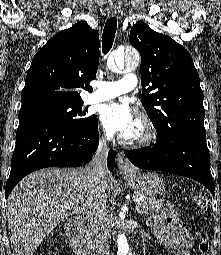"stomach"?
Segmentation results:
<instances>
[{
  "label": "stomach",
  "mask_w": 221,
  "mask_h": 255,
  "mask_svg": "<svg viewBox=\"0 0 221 255\" xmlns=\"http://www.w3.org/2000/svg\"><path fill=\"white\" fill-rule=\"evenodd\" d=\"M127 184L144 196L155 197L164 192V181L162 177L155 172L133 173L124 175Z\"/></svg>",
  "instance_id": "stomach-1"
}]
</instances>
